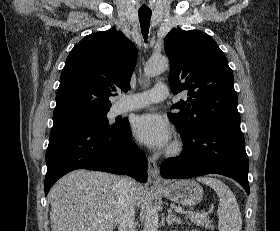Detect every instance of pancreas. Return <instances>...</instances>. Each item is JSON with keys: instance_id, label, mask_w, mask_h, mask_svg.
I'll return each mask as SVG.
<instances>
[{"instance_id": "1", "label": "pancreas", "mask_w": 280, "mask_h": 231, "mask_svg": "<svg viewBox=\"0 0 280 231\" xmlns=\"http://www.w3.org/2000/svg\"><path fill=\"white\" fill-rule=\"evenodd\" d=\"M188 219H191L192 223H196V225H204L205 229L213 227L209 215H205V213H195V211H190V213H188Z\"/></svg>"}]
</instances>
